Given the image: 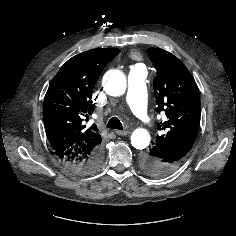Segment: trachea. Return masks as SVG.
<instances>
[{"label":"trachea","instance_id":"trachea-1","mask_svg":"<svg viewBox=\"0 0 236 236\" xmlns=\"http://www.w3.org/2000/svg\"><path fill=\"white\" fill-rule=\"evenodd\" d=\"M107 128L123 130V125L117 117H112L107 123Z\"/></svg>","mask_w":236,"mask_h":236}]
</instances>
